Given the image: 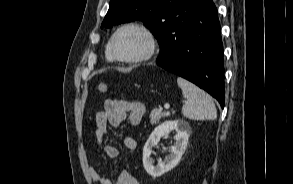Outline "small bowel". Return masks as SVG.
<instances>
[{"mask_svg":"<svg viewBox=\"0 0 293 184\" xmlns=\"http://www.w3.org/2000/svg\"><path fill=\"white\" fill-rule=\"evenodd\" d=\"M144 113L145 107L137 101L117 99H107L105 101L104 109L97 112L95 116L96 129L94 138L97 144L102 147L106 156L116 158L119 154L118 149L106 141L109 128L118 127L125 120H128L131 125L137 126L141 123ZM123 144L128 150H134L137 146L136 140L131 136L124 137ZM89 174L97 184H140L128 169H122L116 180L107 178L94 166L90 167Z\"/></svg>","mask_w":293,"mask_h":184,"instance_id":"small-bowel-1","label":"small bowel"}]
</instances>
